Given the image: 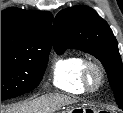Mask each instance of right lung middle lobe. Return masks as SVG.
Listing matches in <instances>:
<instances>
[{
	"instance_id": "obj_1",
	"label": "right lung middle lobe",
	"mask_w": 123,
	"mask_h": 113,
	"mask_svg": "<svg viewBox=\"0 0 123 113\" xmlns=\"http://www.w3.org/2000/svg\"><path fill=\"white\" fill-rule=\"evenodd\" d=\"M50 48L46 42L1 44V100L20 96L38 86Z\"/></svg>"
}]
</instances>
